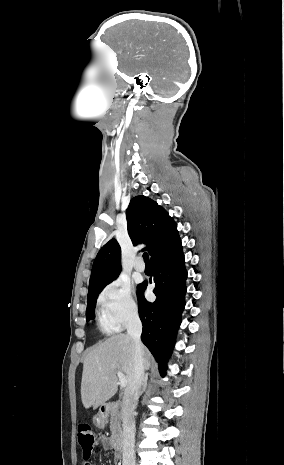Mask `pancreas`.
<instances>
[{
	"label": "pancreas",
	"mask_w": 284,
	"mask_h": 465,
	"mask_svg": "<svg viewBox=\"0 0 284 465\" xmlns=\"http://www.w3.org/2000/svg\"><path fill=\"white\" fill-rule=\"evenodd\" d=\"M110 431L112 433V439H114L116 433L121 431V413L117 405H113L110 411Z\"/></svg>",
	"instance_id": "cf45deb5"
}]
</instances>
